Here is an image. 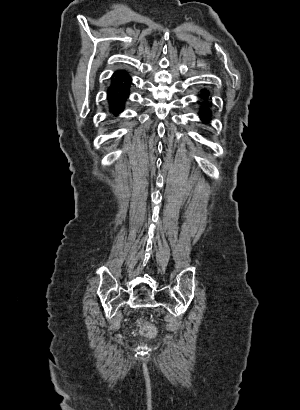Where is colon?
Wrapping results in <instances>:
<instances>
[{
    "mask_svg": "<svg viewBox=\"0 0 300 410\" xmlns=\"http://www.w3.org/2000/svg\"><path fill=\"white\" fill-rule=\"evenodd\" d=\"M142 330H143V333L148 337H154L157 334L156 328L149 324H143Z\"/></svg>",
    "mask_w": 300,
    "mask_h": 410,
    "instance_id": "colon-1",
    "label": "colon"
}]
</instances>
